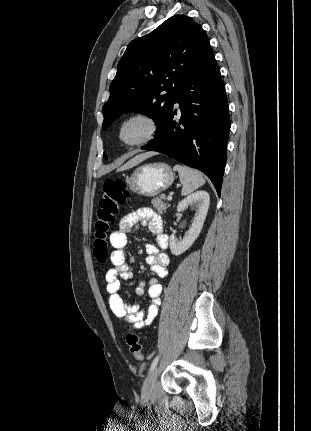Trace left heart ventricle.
Listing matches in <instances>:
<instances>
[{"label": "left heart ventricle", "mask_w": 311, "mask_h": 431, "mask_svg": "<svg viewBox=\"0 0 311 431\" xmlns=\"http://www.w3.org/2000/svg\"><path fill=\"white\" fill-rule=\"evenodd\" d=\"M150 124L142 118H130L124 121L119 134L126 142H135L146 137L150 132Z\"/></svg>", "instance_id": "left-heart-ventricle-1"}]
</instances>
